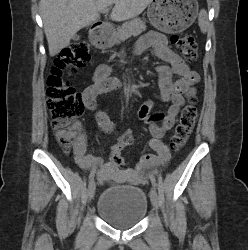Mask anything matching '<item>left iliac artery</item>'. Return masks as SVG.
Masks as SVG:
<instances>
[{
	"mask_svg": "<svg viewBox=\"0 0 248 250\" xmlns=\"http://www.w3.org/2000/svg\"><path fill=\"white\" fill-rule=\"evenodd\" d=\"M150 179H151L152 185L154 186V188H156L157 183H156L155 178L153 176H150Z\"/></svg>",
	"mask_w": 248,
	"mask_h": 250,
	"instance_id": "44dca946",
	"label": "left iliac artery"
}]
</instances>
